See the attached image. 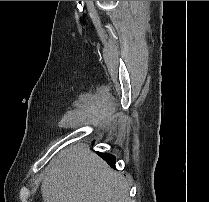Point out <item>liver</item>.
<instances>
[{"label":"liver","instance_id":"obj_1","mask_svg":"<svg viewBox=\"0 0 209 202\" xmlns=\"http://www.w3.org/2000/svg\"><path fill=\"white\" fill-rule=\"evenodd\" d=\"M129 185L86 145L62 150L42 174L44 202H132Z\"/></svg>","mask_w":209,"mask_h":202}]
</instances>
